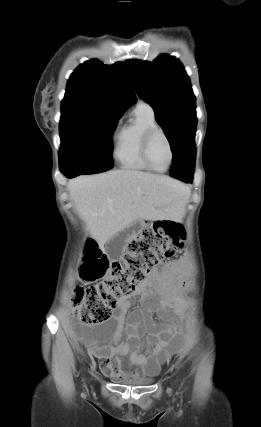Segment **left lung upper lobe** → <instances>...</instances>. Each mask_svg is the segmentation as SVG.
Here are the masks:
<instances>
[{"mask_svg": "<svg viewBox=\"0 0 261 427\" xmlns=\"http://www.w3.org/2000/svg\"><path fill=\"white\" fill-rule=\"evenodd\" d=\"M126 65L138 96L153 107L174 161L185 141L195 135L197 125L189 77L178 59L165 54L153 62L128 60Z\"/></svg>", "mask_w": 261, "mask_h": 427, "instance_id": "left-lung-upper-lobe-1", "label": "left lung upper lobe"}]
</instances>
